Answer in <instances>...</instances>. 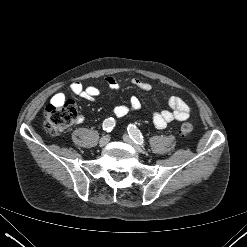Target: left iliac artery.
Masks as SVG:
<instances>
[{"instance_id": "1", "label": "left iliac artery", "mask_w": 247, "mask_h": 247, "mask_svg": "<svg viewBox=\"0 0 247 247\" xmlns=\"http://www.w3.org/2000/svg\"><path fill=\"white\" fill-rule=\"evenodd\" d=\"M128 133L130 135V137L132 138V140L139 144V145H144L145 141L143 139V136L140 132V130L137 129V127L133 124H130L127 128Z\"/></svg>"}]
</instances>
